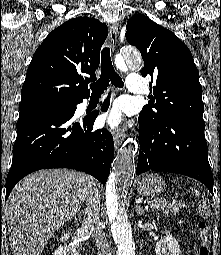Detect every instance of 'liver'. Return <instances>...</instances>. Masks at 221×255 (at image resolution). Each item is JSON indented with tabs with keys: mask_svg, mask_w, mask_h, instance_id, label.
I'll return each instance as SVG.
<instances>
[{
	"mask_svg": "<svg viewBox=\"0 0 221 255\" xmlns=\"http://www.w3.org/2000/svg\"><path fill=\"white\" fill-rule=\"evenodd\" d=\"M94 185L92 176L67 169L23 178L4 207L13 255H40L55 231L76 216Z\"/></svg>",
	"mask_w": 221,
	"mask_h": 255,
	"instance_id": "6515ba94",
	"label": "liver"
}]
</instances>
